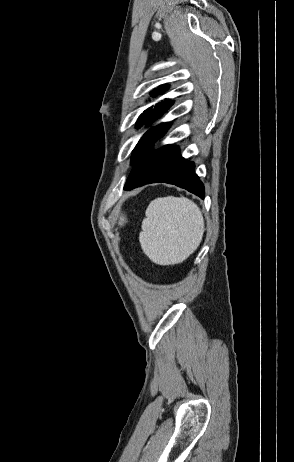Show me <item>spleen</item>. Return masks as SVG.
I'll list each match as a JSON object with an SVG mask.
<instances>
[{"label":"spleen","instance_id":"obj_1","mask_svg":"<svg viewBox=\"0 0 294 462\" xmlns=\"http://www.w3.org/2000/svg\"><path fill=\"white\" fill-rule=\"evenodd\" d=\"M142 222L139 241L143 252L156 264L183 262L199 246L204 220L199 207L184 196L153 200Z\"/></svg>","mask_w":294,"mask_h":462}]
</instances>
